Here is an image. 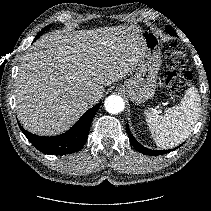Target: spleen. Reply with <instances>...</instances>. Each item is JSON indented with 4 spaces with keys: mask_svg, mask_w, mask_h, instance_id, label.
<instances>
[{
    "mask_svg": "<svg viewBox=\"0 0 211 211\" xmlns=\"http://www.w3.org/2000/svg\"><path fill=\"white\" fill-rule=\"evenodd\" d=\"M200 102L197 88L191 86L180 103L164 114L145 111L147 125L157 146L172 148L188 138L199 118Z\"/></svg>",
    "mask_w": 211,
    "mask_h": 211,
    "instance_id": "obj_1",
    "label": "spleen"
}]
</instances>
